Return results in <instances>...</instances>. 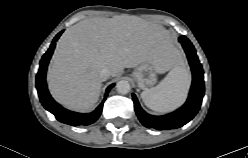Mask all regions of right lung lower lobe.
<instances>
[{
    "label": "right lung lower lobe",
    "instance_id": "obj_1",
    "mask_svg": "<svg viewBox=\"0 0 248 158\" xmlns=\"http://www.w3.org/2000/svg\"><path fill=\"white\" fill-rule=\"evenodd\" d=\"M63 31L58 33V35L54 38L53 42L51 43L50 48L48 51L43 55L41 61H40V67L39 71L36 76V88L38 91V95L40 98V101L45 109H47L49 112H51L58 121L69 124L72 126H78V125H90L94 123L100 116L102 112V106L103 103H101L95 111L89 114H82V113H76L69 111L62 106H60L58 103H56L52 97L50 96L47 85H46V70L49 63V60L52 56L53 50L56 45V41L60 37ZM114 86V84L110 85L107 90L105 96L108 95V92L110 89Z\"/></svg>",
    "mask_w": 248,
    "mask_h": 158
}]
</instances>
